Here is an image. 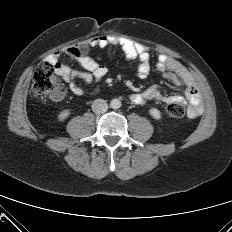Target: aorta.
I'll return each instance as SVG.
<instances>
[{"label":"aorta","instance_id":"aorta-1","mask_svg":"<svg viewBox=\"0 0 232 232\" xmlns=\"http://www.w3.org/2000/svg\"><path fill=\"white\" fill-rule=\"evenodd\" d=\"M110 107L113 109H118L121 107V101L119 99H112L110 102Z\"/></svg>","mask_w":232,"mask_h":232}]
</instances>
